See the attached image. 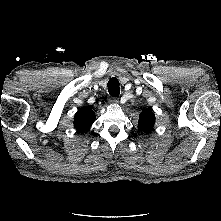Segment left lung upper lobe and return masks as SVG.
Returning <instances> with one entry per match:
<instances>
[{
    "label": "left lung upper lobe",
    "instance_id": "1",
    "mask_svg": "<svg viewBox=\"0 0 221 221\" xmlns=\"http://www.w3.org/2000/svg\"><path fill=\"white\" fill-rule=\"evenodd\" d=\"M155 124V115L151 110H144L139 115L138 131L149 133L153 130Z\"/></svg>",
    "mask_w": 221,
    "mask_h": 221
}]
</instances>
